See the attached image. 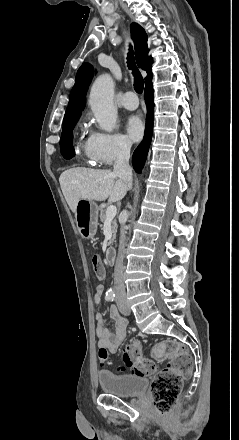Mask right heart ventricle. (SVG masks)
Here are the masks:
<instances>
[{
    "instance_id": "e07e8e85",
    "label": "right heart ventricle",
    "mask_w": 239,
    "mask_h": 440,
    "mask_svg": "<svg viewBox=\"0 0 239 440\" xmlns=\"http://www.w3.org/2000/svg\"><path fill=\"white\" fill-rule=\"evenodd\" d=\"M77 145H78L79 147H82L83 149L85 148V143L83 144V143L81 142L80 139L77 141ZM84 154H85V157H86L85 160H86L88 163L92 164V163L95 162V161H93L92 159H90V158L86 155L85 150H84Z\"/></svg>"
}]
</instances>
